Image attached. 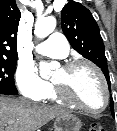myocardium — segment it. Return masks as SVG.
I'll use <instances>...</instances> for the list:
<instances>
[{"mask_svg": "<svg viewBox=\"0 0 117 131\" xmlns=\"http://www.w3.org/2000/svg\"><path fill=\"white\" fill-rule=\"evenodd\" d=\"M79 66L89 67L91 70H93V72L99 78L100 83L102 85L103 94H104V100H103L102 106L99 109H90V108L84 106L82 103H80L79 101L74 99L69 94V92L67 91L66 87L63 84L55 82V81L52 80V84H53L55 94L58 97V99L61 100L62 102L66 103L70 106H73V107H75V108H77V109H79L83 112L90 113V114L101 113L108 106L109 99H110V93H109V88H108L106 79H105L102 71L94 63H92L88 60H84V59H75V60L66 61L65 63H63L61 68L65 71H71V70H73V69H75Z\"/></svg>", "mask_w": 117, "mask_h": 131, "instance_id": "1", "label": "myocardium"}]
</instances>
